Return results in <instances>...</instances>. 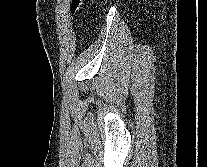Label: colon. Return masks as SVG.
Returning a JSON list of instances; mask_svg holds the SVG:
<instances>
[{
    "label": "colon",
    "mask_w": 207,
    "mask_h": 167,
    "mask_svg": "<svg viewBox=\"0 0 207 167\" xmlns=\"http://www.w3.org/2000/svg\"><path fill=\"white\" fill-rule=\"evenodd\" d=\"M83 4H84V0H72L71 12L72 13L78 12Z\"/></svg>",
    "instance_id": "1"
}]
</instances>
